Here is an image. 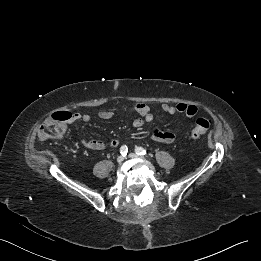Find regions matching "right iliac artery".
<instances>
[{
  "label": "right iliac artery",
  "instance_id": "right-iliac-artery-1",
  "mask_svg": "<svg viewBox=\"0 0 261 261\" xmlns=\"http://www.w3.org/2000/svg\"><path fill=\"white\" fill-rule=\"evenodd\" d=\"M120 153H121L122 156H126V155H127V153H128V148H127L126 145L121 146V148H120Z\"/></svg>",
  "mask_w": 261,
  "mask_h": 261
}]
</instances>
